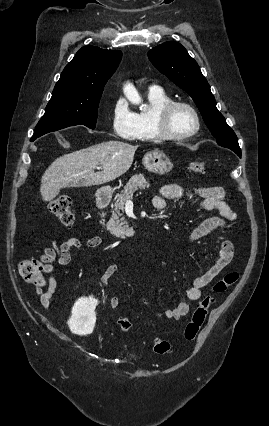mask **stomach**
<instances>
[{"mask_svg": "<svg viewBox=\"0 0 269 426\" xmlns=\"http://www.w3.org/2000/svg\"><path fill=\"white\" fill-rule=\"evenodd\" d=\"M143 164L145 168L156 174H166L171 171L172 163L167 155L160 151H151L148 152L143 158ZM102 192H110L111 188L109 186L103 187Z\"/></svg>", "mask_w": 269, "mask_h": 426, "instance_id": "1", "label": "stomach"}]
</instances>
